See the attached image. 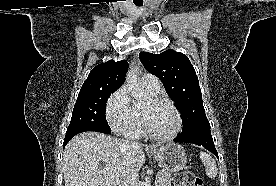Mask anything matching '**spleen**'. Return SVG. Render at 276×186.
<instances>
[{"instance_id":"3e777b00","label":"spleen","mask_w":276,"mask_h":186,"mask_svg":"<svg viewBox=\"0 0 276 186\" xmlns=\"http://www.w3.org/2000/svg\"><path fill=\"white\" fill-rule=\"evenodd\" d=\"M200 159L203 165L206 167V175L209 178H215L218 174L215 160L211 157V155L202 151L200 152Z\"/></svg>"}]
</instances>
